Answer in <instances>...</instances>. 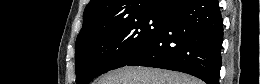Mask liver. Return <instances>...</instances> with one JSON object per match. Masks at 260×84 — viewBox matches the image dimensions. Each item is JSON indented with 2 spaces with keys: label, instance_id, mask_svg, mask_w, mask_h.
Returning a JSON list of instances; mask_svg holds the SVG:
<instances>
[{
  "label": "liver",
  "instance_id": "1",
  "mask_svg": "<svg viewBox=\"0 0 260 84\" xmlns=\"http://www.w3.org/2000/svg\"><path fill=\"white\" fill-rule=\"evenodd\" d=\"M96 84H203L199 79L181 72L125 66L103 75Z\"/></svg>",
  "mask_w": 260,
  "mask_h": 84
}]
</instances>
